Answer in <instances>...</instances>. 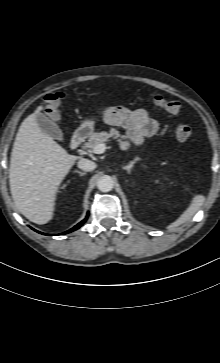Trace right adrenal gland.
<instances>
[{
    "instance_id": "obj_1",
    "label": "right adrenal gland",
    "mask_w": 220,
    "mask_h": 363,
    "mask_svg": "<svg viewBox=\"0 0 220 363\" xmlns=\"http://www.w3.org/2000/svg\"><path fill=\"white\" fill-rule=\"evenodd\" d=\"M74 172H75V173H78L80 176H84V175H86V173H85V172H81V171H79V170H75Z\"/></svg>"
}]
</instances>
